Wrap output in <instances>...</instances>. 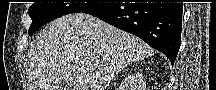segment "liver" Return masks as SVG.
I'll use <instances>...</instances> for the list:
<instances>
[{
	"label": "liver",
	"instance_id": "6515ba94",
	"mask_svg": "<svg viewBox=\"0 0 216 90\" xmlns=\"http://www.w3.org/2000/svg\"><path fill=\"white\" fill-rule=\"evenodd\" d=\"M153 50L89 14L50 22L28 52V90H107L118 72Z\"/></svg>",
	"mask_w": 216,
	"mask_h": 90
}]
</instances>
